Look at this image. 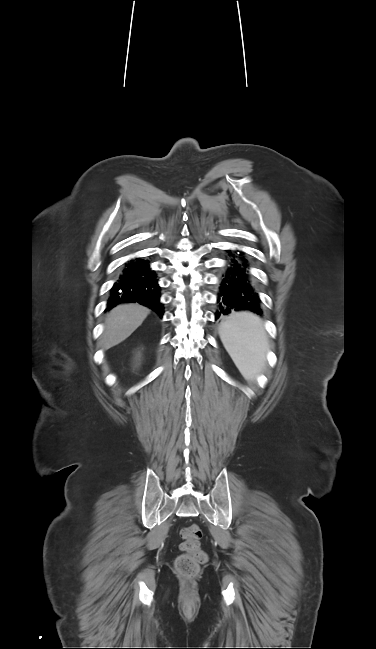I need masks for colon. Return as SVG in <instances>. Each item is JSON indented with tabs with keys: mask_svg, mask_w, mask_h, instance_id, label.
Wrapping results in <instances>:
<instances>
[{
	"mask_svg": "<svg viewBox=\"0 0 376 649\" xmlns=\"http://www.w3.org/2000/svg\"><path fill=\"white\" fill-rule=\"evenodd\" d=\"M183 539L180 548L183 554L177 557L175 568L183 576H194L200 567L207 562V555L201 549L202 532L197 524H191L181 530Z\"/></svg>",
	"mask_w": 376,
	"mask_h": 649,
	"instance_id": "1",
	"label": "colon"
}]
</instances>
